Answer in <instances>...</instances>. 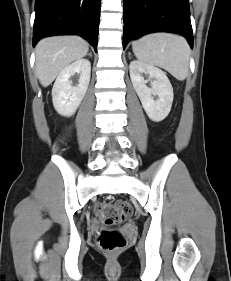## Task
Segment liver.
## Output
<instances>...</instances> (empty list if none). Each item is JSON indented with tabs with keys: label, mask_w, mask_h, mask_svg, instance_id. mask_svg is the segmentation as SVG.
I'll return each mask as SVG.
<instances>
[{
	"label": "liver",
	"mask_w": 231,
	"mask_h": 281,
	"mask_svg": "<svg viewBox=\"0 0 231 281\" xmlns=\"http://www.w3.org/2000/svg\"><path fill=\"white\" fill-rule=\"evenodd\" d=\"M88 43L78 36L42 39L35 48L36 74L42 86H49L71 62L87 55Z\"/></svg>",
	"instance_id": "6515ba94"
}]
</instances>
